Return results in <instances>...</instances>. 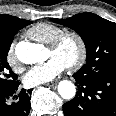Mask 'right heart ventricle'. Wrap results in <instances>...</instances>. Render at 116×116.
<instances>
[{
  "label": "right heart ventricle",
  "mask_w": 116,
  "mask_h": 116,
  "mask_svg": "<svg viewBox=\"0 0 116 116\" xmlns=\"http://www.w3.org/2000/svg\"><path fill=\"white\" fill-rule=\"evenodd\" d=\"M63 31L64 29L56 24L40 22L31 26L27 35L37 42L50 44Z\"/></svg>",
  "instance_id": "1"
}]
</instances>
